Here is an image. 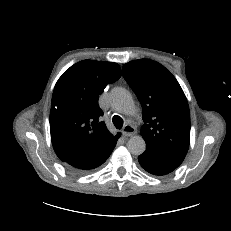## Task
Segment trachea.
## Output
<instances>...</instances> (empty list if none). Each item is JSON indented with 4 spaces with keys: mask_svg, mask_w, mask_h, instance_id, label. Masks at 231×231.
Segmentation results:
<instances>
[{
    "mask_svg": "<svg viewBox=\"0 0 231 231\" xmlns=\"http://www.w3.org/2000/svg\"><path fill=\"white\" fill-rule=\"evenodd\" d=\"M112 121L117 129H121L123 127V119L120 116L118 115L113 116Z\"/></svg>",
    "mask_w": 231,
    "mask_h": 231,
    "instance_id": "trachea-1",
    "label": "trachea"
}]
</instances>
